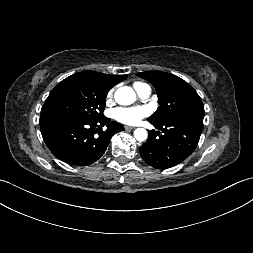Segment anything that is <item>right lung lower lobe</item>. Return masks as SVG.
<instances>
[{
  "mask_svg": "<svg viewBox=\"0 0 253 253\" xmlns=\"http://www.w3.org/2000/svg\"><path fill=\"white\" fill-rule=\"evenodd\" d=\"M44 142L60 160L77 166L96 162L106 151L110 138L124 130L105 116L97 120L44 118L39 120ZM106 125V130L101 126Z\"/></svg>",
  "mask_w": 253,
  "mask_h": 253,
  "instance_id": "98d812e1",
  "label": "right lung lower lobe"
}]
</instances>
